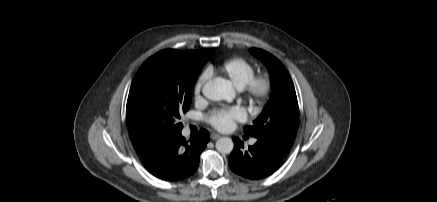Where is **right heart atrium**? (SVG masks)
<instances>
[{
  "label": "right heart atrium",
  "mask_w": 437,
  "mask_h": 202,
  "mask_svg": "<svg viewBox=\"0 0 437 202\" xmlns=\"http://www.w3.org/2000/svg\"><path fill=\"white\" fill-rule=\"evenodd\" d=\"M207 79H208V73L207 72H204V73H202L199 76V78L197 79V82L195 84V89H194L196 95L200 94V92H201L205 82L207 81Z\"/></svg>",
  "instance_id": "1"
}]
</instances>
